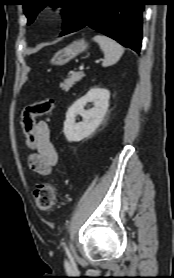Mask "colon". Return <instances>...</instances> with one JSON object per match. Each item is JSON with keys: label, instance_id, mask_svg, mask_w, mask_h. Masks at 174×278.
I'll list each match as a JSON object with an SVG mask.
<instances>
[{"label": "colon", "instance_id": "1", "mask_svg": "<svg viewBox=\"0 0 174 278\" xmlns=\"http://www.w3.org/2000/svg\"><path fill=\"white\" fill-rule=\"evenodd\" d=\"M53 109V100L45 99L27 105L21 114V125L25 138V146L35 152L38 138L35 130V120L39 116L49 114ZM34 199L42 211H51L54 208L56 197L53 187L49 184H40L34 190Z\"/></svg>", "mask_w": 174, "mask_h": 278}]
</instances>
